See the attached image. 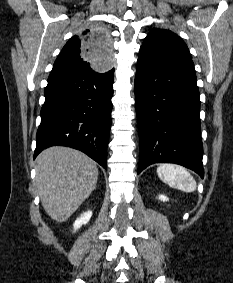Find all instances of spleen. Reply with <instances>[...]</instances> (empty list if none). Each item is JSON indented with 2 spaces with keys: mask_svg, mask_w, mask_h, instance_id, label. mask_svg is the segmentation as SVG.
Here are the masks:
<instances>
[{
  "mask_svg": "<svg viewBox=\"0 0 233 283\" xmlns=\"http://www.w3.org/2000/svg\"><path fill=\"white\" fill-rule=\"evenodd\" d=\"M158 177L170 187L183 192L196 190V181L193 176L182 166L175 164H162L157 168Z\"/></svg>",
  "mask_w": 233,
  "mask_h": 283,
  "instance_id": "3e777b00",
  "label": "spleen"
}]
</instances>
